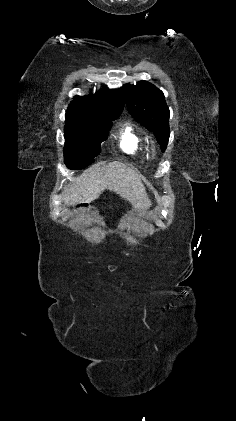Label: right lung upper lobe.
Wrapping results in <instances>:
<instances>
[{
	"label": "right lung upper lobe",
	"mask_w": 236,
	"mask_h": 421,
	"mask_svg": "<svg viewBox=\"0 0 236 421\" xmlns=\"http://www.w3.org/2000/svg\"><path fill=\"white\" fill-rule=\"evenodd\" d=\"M72 108L92 107L102 109L123 110L124 94L121 89H102L89 96H75L70 106Z\"/></svg>",
	"instance_id": "cb5924a9"
}]
</instances>
